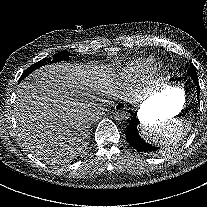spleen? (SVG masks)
I'll return each instance as SVG.
<instances>
[{"instance_id": "spleen-1", "label": "spleen", "mask_w": 207, "mask_h": 207, "mask_svg": "<svg viewBox=\"0 0 207 207\" xmlns=\"http://www.w3.org/2000/svg\"><path fill=\"white\" fill-rule=\"evenodd\" d=\"M193 126V119L183 116L177 120H158L151 124H143L139 127L138 134L153 145L168 146L180 143Z\"/></svg>"}]
</instances>
